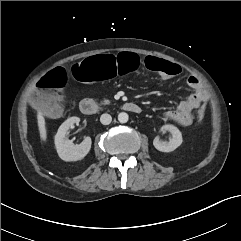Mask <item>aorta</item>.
I'll list each match as a JSON object with an SVG mask.
<instances>
[{
  "mask_svg": "<svg viewBox=\"0 0 241 241\" xmlns=\"http://www.w3.org/2000/svg\"><path fill=\"white\" fill-rule=\"evenodd\" d=\"M128 119H129V116H128L127 113H125V112L119 113V115H118V121H119L120 123H126V122L128 121Z\"/></svg>",
  "mask_w": 241,
  "mask_h": 241,
  "instance_id": "762f6f07",
  "label": "aorta"
}]
</instances>
